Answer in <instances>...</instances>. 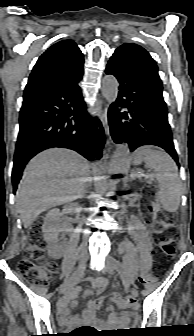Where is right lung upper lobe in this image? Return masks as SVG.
Listing matches in <instances>:
<instances>
[{"label":"right lung upper lobe","mask_w":194,"mask_h":336,"mask_svg":"<svg viewBox=\"0 0 194 336\" xmlns=\"http://www.w3.org/2000/svg\"><path fill=\"white\" fill-rule=\"evenodd\" d=\"M83 55L71 40L60 41L38 59L28 79L24 96L54 87L82 69Z\"/></svg>","instance_id":"1"}]
</instances>
